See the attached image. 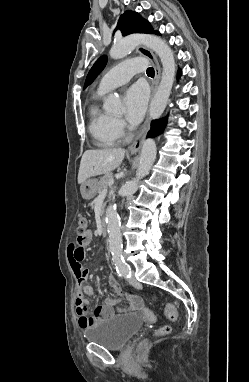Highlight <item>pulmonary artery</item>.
I'll return each instance as SVG.
<instances>
[{"mask_svg": "<svg viewBox=\"0 0 249 382\" xmlns=\"http://www.w3.org/2000/svg\"><path fill=\"white\" fill-rule=\"evenodd\" d=\"M145 67L146 60L139 57L116 64L100 80L98 91L106 93L127 83L135 73Z\"/></svg>", "mask_w": 249, "mask_h": 382, "instance_id": "obj_1", "label": "pulmonary artery"}]
</instances>
